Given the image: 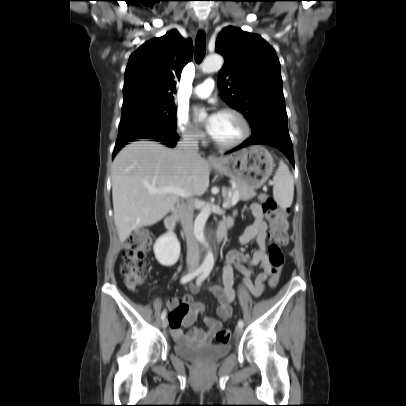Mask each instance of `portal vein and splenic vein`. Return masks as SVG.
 I'll return each mask as SVG.
<instances>
[{
    "label": "portal vein and splenic vein",
    "instance_id": "portal-vein-and-splenic-vein-1",
    "mask_svg": "<svg viewBox=\"0 0 406 406\" xmlns=\"http://www.w3.org/2000/svg\"><path fill=\"white\" fill-rule=\"evenodd\" d=\"M150 193L152 194H175L178 196H181L183 198H188L191 195L187 192H185L184 190H182L179 187H175V186H169V187H163V188H159V189H152L150 190ZM238 198H239V192L235 191L232 199H231V203L230 204H223L224 208H230L231 206L236 205V203L238 202Z\"/></svg>",
    "mask_w": 406,
    "mask_h": 406
}]
</instances>
